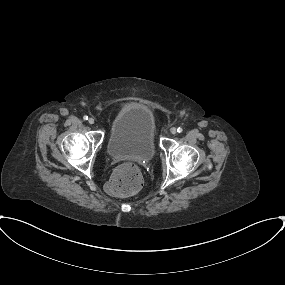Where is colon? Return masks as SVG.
I'll list each match as a JSON object with an SVG mask.
<instances>
[{
    "label": "colon",
    "instance_id": "colon-1",
    "mask_svg": "<svg viewBox=\"0 0 285 285\" xmlns=\"http://www.w3.org/2000/svg\"><path fill=\"white\" fill-rule=\"evenodd\" d=\"M142 182V174L136 166L124 165L112 173L107 182V190L118 196L133 195L140 190Z\"/></svg>",
    "mask_w": 285,
    "mask_h": 285
}]
</instances>
